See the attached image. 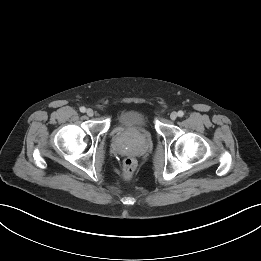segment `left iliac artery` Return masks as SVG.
<instances>
[{
  "label": "left iliac artery",
  "instance_id": "1",
  "mask_svg": "<svg viewBox=\"0 0 261 261\" xmlns=\"http://www.w3.org/2000/svg\"><path fill=\"white\" fill-rule=\"evenodd\" d=\"M178 116H179V117H183V116H184V112H183V111H181V110H180V111H178Z\"/></svg>",
  "mask_w": 261,
  "mask_h": 261
}]
</instances>
